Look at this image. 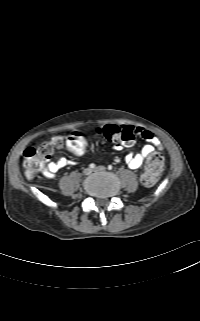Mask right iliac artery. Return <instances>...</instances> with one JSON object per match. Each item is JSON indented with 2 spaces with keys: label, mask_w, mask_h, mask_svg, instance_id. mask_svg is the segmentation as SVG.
Here are the masks:
<instances>
[{
  "label": "right iliac artery",
  "mask_w": 200,
  "mask_h": 321,
  "mask_svg": "<svg viewBox=\"0 0 200 321\" xmlns=\"http://www.w3.org/2000/svg\"><path fill=\"white\" fill-rule=\"evenodd\" d=\"M89 167L93 169V168H95V164H94V163H91V164L89 165Z\"/></svg>",
  "instance_id": "1"
}]
</instances>
